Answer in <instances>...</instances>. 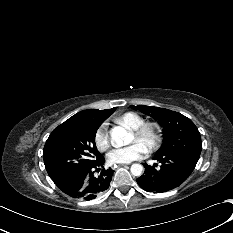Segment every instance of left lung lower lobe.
<instances>
[{
  "label": "left lung lower lobe",
  "instance_id": "obj_1",
  "mask_svg": "<svg viewBox=\"0 0 233 233\" xmlns=\"http://www.w3.org/2000/svg\"><path fill=\"white\" fill-rule=\"evenodd\" d=\"M160 162L149 166L144 163L145 172L137 178L138 185L147 192L162 193L182 184L194 170L198 160L179 153H156Z\"/></svg>",
  "mask_w": 233,
  "mask_h": 233
}]
</instances>
